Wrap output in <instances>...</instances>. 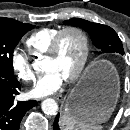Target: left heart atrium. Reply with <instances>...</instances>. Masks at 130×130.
<instances>
[{
	"mask_svg": "<svg viewBox=\"0 0 130 130\" xmlns=\"http://www.w3.org/2000/svg\"><path fill=\"white\" fill-rule=\"evenodd\" d=\"M63 76L55 70L47 71L29 91L30 96L41 98L55 93L64 82Z\"/></svg>",
	"mask_w": 130,
	"mask_h": 130,
	"instance_id": "1",
	"label": "left heart atrium"
}]
</instances>
